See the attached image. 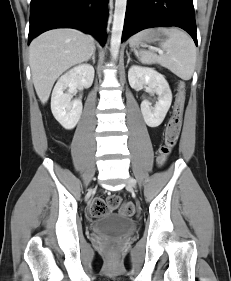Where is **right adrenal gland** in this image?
<instances>
[{"mask_svg": "<svg viewBox=\"0 0 231 281\" xmlns=\"http://www.w3.org/2000/svg\"><path fill=\"white\" fill-rule=\"evenodd\" d=\"M95 55H96V51L93 52L92 57H91L93 64H95Z\"/></svg>", "mask_w": 231, "mask_h": 281, "instance_id": "1", "label": "right adrenal gland"}]
</instances>
